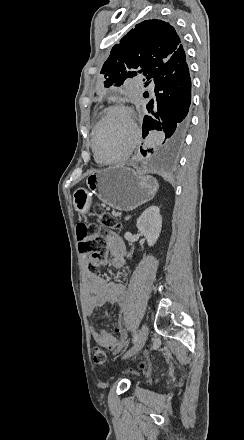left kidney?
<instances>
[{"label": "left kidney", "mask_w": 244, "mask_h": 440, "mask_svg": "<svg viewBox=\"0 0 244 440\" xmlns=\"http://www.w3.org/2000/svg\"><path fill=\"white\" fill-rule=\"evenodd\" d=\"M136 226L139 232L146 238L148 246H154L162 228V218L158 206H150V208L144 210L141 216H139ZM128 258H131L130 254H128Z\"/></svg>", "instance_id": "1"}]
</instances>
